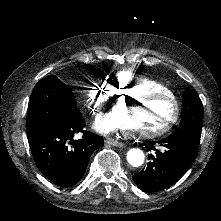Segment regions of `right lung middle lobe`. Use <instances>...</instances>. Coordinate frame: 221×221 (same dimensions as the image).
<instances>
[{"label": "right lung middle lobe", "instance_id": "dd1d6c3e", "mask_svg": "<svg viewBox=\"0 0 221 221\" xmlns=\"http://www.w3.org/2000/svg\"><path fill=\"white\" fill-rule=\"evenodd\" d=\"M81 117L70 87L51 75L41 79L32 91L26 132L47 125L70 123Z\"/></svg>", "mask_w": 221, "mask_h": 221}]
</instances>
